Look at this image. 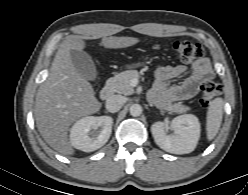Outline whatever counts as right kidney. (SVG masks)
Returning <instances> with one entry per match:
<instances>
[{
  "mask_svg": "<svg viewBox=\"0 0 248 195\" xmlns=\"http://www.w3.org/2000/svg\"><path fill=\"white\" fill-rule=\"evenodd\" d=\"M113 119L109 116H87L78 120L70 130L71 145L84 152H92L106 144L112 132ZM94 129L99 131L90 136Z\"/></svg>",
  "mask_w": 248,
  "mask_h": 195,
  "instance_id": "obj_1",
  "label": "right kidney"
}]
</instances>
